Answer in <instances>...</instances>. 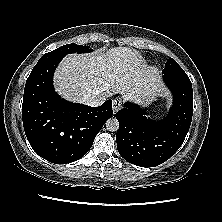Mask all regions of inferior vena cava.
Returning <instances> with one entry per match:
<instances>
[{
	"mask_svg": "<svg viewBox=\"0 0 222 222\" xmlns=\"http://www.w3.org/2000/svg\"><path fill=\"white\" fill-rule=\"evenodd\" d=\"M105 100L106 97L102 96L100 92L85 94L82 98L83 103L92 107H97L101 105Z\"/></svg>",
	"mask_w": 222,
	"mask_h": 222,
	"instance_id": "inferior-vena-cava-1",
	"label": "inferior vena cava"
}]
</instances>
